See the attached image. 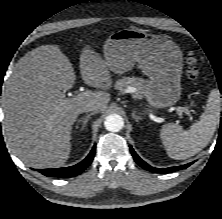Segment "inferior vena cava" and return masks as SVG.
<instances>
[{
    "label": "inferior vena cava",
    "instance_id": "1",
    "mask_svg": "<svg viewBox=\"0 0 222 219\" xmlns=\"http://www.w3.org/2000/svg\"><path fill=\"white\" fill-rule=\"evenodd\" d=\"M100 109H101V106L99 103L92 102V103H89L86 106H84L82 111L83 112H90L91 111L93 113H96V112L100 111Z\"/></svg>",
    "mask_w": 222,
    "mask_h": 219
}]
</instances>
